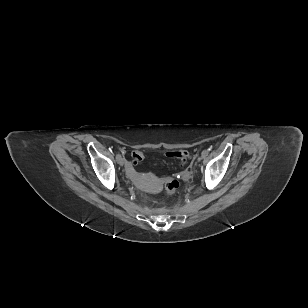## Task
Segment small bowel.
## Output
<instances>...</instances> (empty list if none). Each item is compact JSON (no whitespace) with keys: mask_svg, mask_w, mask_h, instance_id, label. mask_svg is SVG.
Masks as SVG:
<instances>
[{"mask_svg":"<svg viewBox=\"0 0 308 308\" xmlns=\"http://www.w3.org/2000/svg\"><path fill=\"white\" fill-rule=\"evenodd\" d=\"M127 169H128V171L131 172V173L134 171V170H133V166L131 165V163H128Z\"/></svg>","mask_w":308,"mask_h":308,"instance_id":"c3829d8e","label":"small bowel"}]
</instances>
